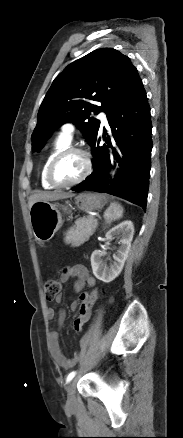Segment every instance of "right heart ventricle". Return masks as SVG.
Returning a JSON list of instances; mask_svg holds the SVG:
<instances>
[{
	"instance_id": "obj_1",
	"label": "right heart ventricle",
	"mask_w": 183,
	"mask_h": 438,
	"mask_svg": "<svg viewBox=\"0 0 183 438\" xmlns=\"http://www.w3.org/2000/svg\"><path fill=\"white\" fill-rule=\"evenodd\" d=\"M70 138L66 137L65 135L58 136L55 141L53 142L51 148L49 149L47 155L45 156L41 172H40V178H41V184L44 189H53L54 187L47 181L46 178V171L47 167L51 161V159L62 149L69 146Z\"/></svg>"
}]
</instances>
